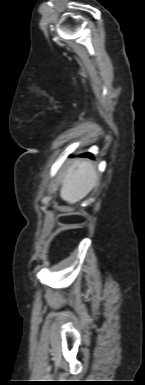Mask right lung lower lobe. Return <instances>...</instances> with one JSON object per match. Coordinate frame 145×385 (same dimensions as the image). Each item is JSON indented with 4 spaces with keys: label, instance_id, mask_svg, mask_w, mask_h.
Instances as JSON below:
<instances>
[{
    "label": "right lung lower lobe",
    "instance_id": "98d812e1",
    "mask_svg": "<svg viewBox=\"0 0 145 385\" xmlns=\"http://www.w3.org/2000/svg\"><path fill=\"white\" fill-rule=\"evenodd\" d=\"M85 156H90V157H92V155H91V154H89V153L85 154Z\"/></svg>",
    "mask_w": 145,
    "mask_h": 385
}]
</instances>
